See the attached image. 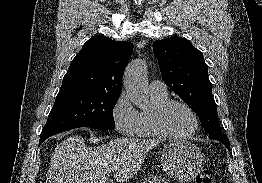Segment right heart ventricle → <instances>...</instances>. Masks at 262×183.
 <instances>
[{"instance_id": "obj_1", "label": "right heart ventricle", "mask_w": 262, "mask_h": 183, "mask_svg": "<svg viewBox=\"0 0 262 183\" xmlns=\"http://www.w3.org/2000/svg\"><path fill=\"white\" fill-rule=\"evenodd\" d=\"M150 97L152 101V108L149 110H143L139 112L138 115V124L135 131V134L138 137H143V138L159 137L152 125V113L157 106H159L169 98L167 93L164 94L150 93Z\"/></svg>"}]
</instances>
